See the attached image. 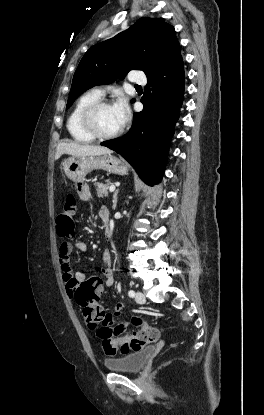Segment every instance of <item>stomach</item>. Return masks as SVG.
I'll list each match as a JSON object with an SVG mask.
<instances>
[{"label":"stomach","mask_w":264,"mask_h":415,"mask_svg":"<svg viewBox=\"0 0 264 415\" xmlns=\"http://www.w3.org/2000/svg\"><path fill=\"white\" fill-rule=\"evenodd\" d=\"M102 169L108 173L125 175L128 172L126 163L115 156H71L63 163V171L73 182H82L86 175L95 170Z\"/></svg>","instance_id":"stomach-1"}]
</instances>
